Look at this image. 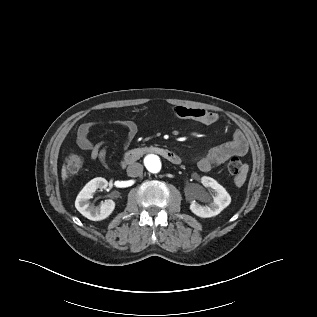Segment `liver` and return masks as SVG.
Wrapping results in <instances>:
<instances>
[{
	"instance_id": "liver-1",
	"label": "liver",
	"mask_w": 317,
	"mask_h": 317,
	"mask_svg": "<svg viewBox=\"0 0 317 317\" xmlns=\"http://www.w3.org/2000/svg\"><path fill=\"white\" fill-rule=\"evenodd\" d=\"M61 176H62V179H63V180H65V179L67 178L66 165H63V166H62Z\"/></svg>"
}]
</instances>
